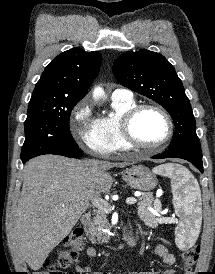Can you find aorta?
<instances>
[{
  "mask_svg": "<svg viewBox=\"0 0 215 274\" xmlns=\"http://www.w3.org/2000/svg\"><path fill=\"white\" fill-rule=\"evenodd\" d=\"M101 92V89L100 88H96L95 90H94V94H98V93H100Z\"/></svg>",
  "mask_w": 215,
  "mask_h": 274,
  "instance_id": "762f6f07",
  "label": "aorta"
}]
</instances>
